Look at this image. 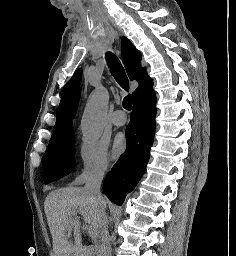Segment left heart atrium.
<instances>
[{
  "instance_id": "1",
  "label": "left heart atrium",
  "mask_w": 236,
  "mask_h": 256,
  "mask_svg": "<svg viewBox=\"0 0 236 256\" xmlns=\"http://www.w3.org/2000/svg\"><path fill=\"white\" fill-rule=\"evenodd\" d=\"M124 147H125V138L122 135L117 136L113 144V154L115 156L120 155Z\"/></svg>"
}]
</instances>
